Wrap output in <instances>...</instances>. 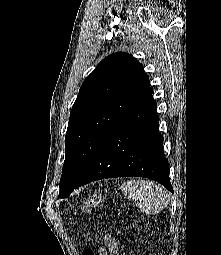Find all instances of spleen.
<instances>
[{
    "label": "spleen",
    "instance_id": "obj_1",
    "mask_svg": "<svg viewBox=\"0 0 221 255\" xmlns=\"http://www.w3.org/2000/svg\"><path fill=\"white\" fill-rule=\"evenodd\" d=\"M122 191L142 212L146 214L159 213L168 203L169 195L160 186L147 180H131L125 182Z\"/></svg>",
    "mask_w": 221,
    "mask_h": 255
}]
</instances>
